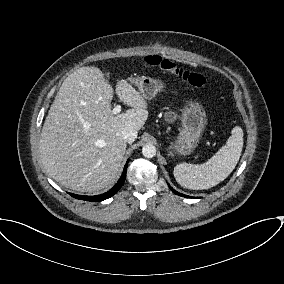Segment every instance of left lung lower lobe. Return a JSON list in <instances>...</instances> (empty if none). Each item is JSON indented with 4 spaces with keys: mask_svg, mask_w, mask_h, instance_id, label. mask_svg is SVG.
I'll return each mask as SVG.
<instances>
[{
    "mask_svg": "<svg viewBox=\"0 0 284 284\" xmlns=\"http://www.w3.org/2000/svg\"><path fill=\"white\" fill-rule=\"evenodd\" d=\"M168 186L170 187L171 191L174 192L175 194H177V195H179V196H183V197H189V196H187V195H184V194H181V193L175 191L169 184H168Z\"/></svg>",
    "mask_w": 284,
    "mask_h": 284,
    "instance_id": "left-lung-lower-lobe-1",
    "label": "left lung lower lobe"
}]
</instances>
